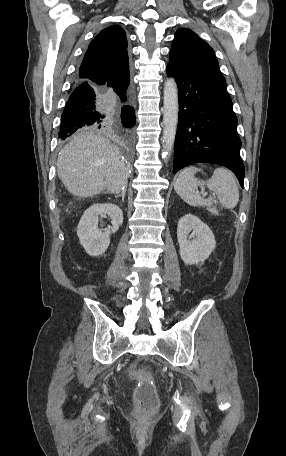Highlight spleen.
<instances>
[{
  "mask_svg": "<svg viewBox=\"0 0 286 456\" xmlns=\"http://www.w3.org/2000/svg\"><path fill=\"white\" fill-rule=\"evenodd\" d=\"M200 169L188 167L182 170L174 185L176 193L190 206L211 207L215 203L212 197L203 199L195 189L200 186L208 187L213 194L218 196L220 205L227 209H233L239 201L238 182L233 173L224 168L214 170L212 177L207 180L195 178V173Z\"/></svg>",
  "mask_w": 286,
  "mask_h": 456,
  "instance_id": "spleen-1",
  "label": "spleen"
}]
</instances>
